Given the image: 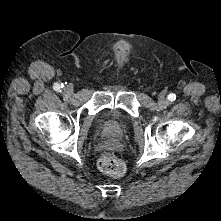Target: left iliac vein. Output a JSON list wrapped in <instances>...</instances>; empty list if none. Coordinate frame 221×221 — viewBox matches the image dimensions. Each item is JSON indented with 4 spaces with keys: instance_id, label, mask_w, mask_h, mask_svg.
<instances>
[{
    "instance_id": "left-iliac-vein-1",
    "label": "left iliac vein",
    "mask_w": 221,
    "mask_h": 221,
    "mask_svg": "<svg viewBox=\"0 0 221 221\" xmlns=\"http://www.w3.org/2000/svg\"><path fill=\"white\" fill-rule=\"evenodd\" d=\"M159 105H160V106H165V105H166V101H165L164 98H161V99L159 100Z\"/></svg>"
}]
</instances>
